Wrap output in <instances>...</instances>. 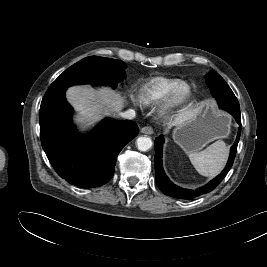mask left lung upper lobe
Instances as JSON below:
<instances>
[{"mask_svg":"<svg viewBox=\"0 0 267 267\" xmlns=\"http://www.w3.org/2000/svg\"><path fill=\"white\" fill-rule=\"evenodd\" d=\"M206 79L207 84L211 89V93L217 101H220L221 99L226 100L227 98L234 96V93L220 75L210 73L209 76H206Z\"/></svg>","mask_w":267,"mask_h":267,"instance_id":"1","label":"left lung upper lobe"}]
</instances>
